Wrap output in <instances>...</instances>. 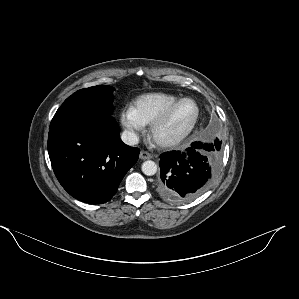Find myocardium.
Returning a JSON list of instances; mask_svg holds the SVG:
<instances>
[{"mask_svg": "<svg viewBox=\"0 0 299 299\" xmlns=\"http://www.w3.org/2000/svg\"><path fill=\"white\" fill-rule=\"evenodd\" d=\"M191 101L196 107V114L190 126L182 133L171 138H160L159 129L166 123L172 112L183 102ZM200 118V107L196 100L190 97H183L171 103L165 110L151 123L150 136L154 143L162 148H171L179 145L194 130Z\"/></svg>", "mask_w": 299, "mask_h": 299, "instance_id": "1", "label": "myocardium"}]
</instances>
